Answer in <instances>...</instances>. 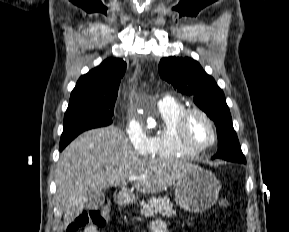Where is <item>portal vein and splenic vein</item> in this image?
Segmentation results:
<instances>
[{
    "mask_svg": "<svg viewBox=\"0 0 289 232\" xmlns=\"http://www.w3.org/2000/svg\"><path fill=\"white\" fill-rule=\"evenodd\" d=\"M139 179H141L140 176H131V177H129L128 181H136V180H139Z\"/></svg>",
    "mask_w": 289,
    "mask_h": 232,
    "instance_id": "portal-vein-and-splenic-vein-1",
    "label": "portal vein and splenic vein"
}]
</instances>
